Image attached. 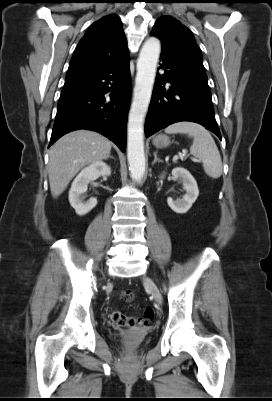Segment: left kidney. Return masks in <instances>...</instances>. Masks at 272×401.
Returning a JSON list of instances; mask_svg holds the SVG:
<instances>
[{"label":"left kidney","mask_w":272,"mask_h":401,"mask_svg":"<svg viewBox=\"0 0 272 401\" xmlns=\"http://www.w3.org/2000/svg\"><path fill=\"white\" fill-rule=\"evenodd\" d=\"M172 175L182 181L186 194L182 199H177L175 201L172 198H168L167 203L174 212L183 214L191 208L199 195L197 182L190 172L182 167L174 168L172 170Z\"/></svg>","instance_id":"5707ae66"}]
</instances>
